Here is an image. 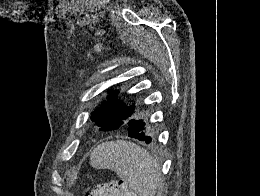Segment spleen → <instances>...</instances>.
I'll use <instances>...</instances> for the list:
<instances>
[{"mask_svg": "<svg viewBox=\"0 0 260 196\" xmlns=\"http://www.w3.org/2000/svg\"><path fill=\"white\" fill-rule=\"evenodd\" d=\"M90 162L96 170H113L138 196H155L161 186L159 164L133 142H103L91 152Z\"/></svg>", "mask_w": 260, "mask_h": 196, "instance_id": "spleen-1", "label": "spleen"}]
</instances>
